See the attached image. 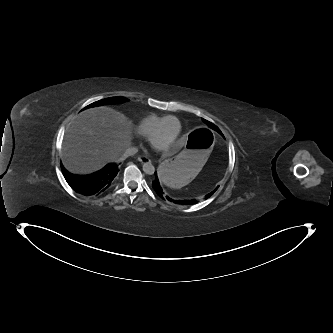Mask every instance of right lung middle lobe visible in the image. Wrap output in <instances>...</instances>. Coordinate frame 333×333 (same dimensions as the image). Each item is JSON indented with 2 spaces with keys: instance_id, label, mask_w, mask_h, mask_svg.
<instances>
[{
  "instance_id": "obj_1",
  "label": "right lung middle lobe",
  "mask_w": 333,
  "mask_h": 333,
  "mask_svg": "<svg viewBox=\"0 0 333 333\" xmlns=\"http://www.w3.org/2000/svg\"><path fill=\"white\" fill-rule=\"evenodd\" d=\"M127 100L128 99L121 97V96L120 97H111V98H106V99H102L97 102H94V103L90 104L89 106H87L86 108L100 106V105H104V104L122 103Z\"/></svg>"
}]
</instances>
